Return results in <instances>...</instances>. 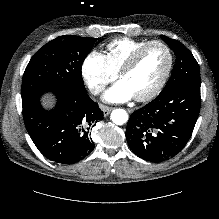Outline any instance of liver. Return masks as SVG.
Segmentation results:
<instances>
[{"label":"liver","instance_id":"liver-1","mask_svg":"<svg viewBox=\"0 0 219 219\" xmlns=\"http://www.w3.org/2000/svg\"><path fill=\"white\" fill-rule=\"evenodd\" d=\"M44 102H45V103H50L51 100H50V99H47V100H45Z\"/></svg>","mask_w":219,"mask_h":219}]
</instances>
